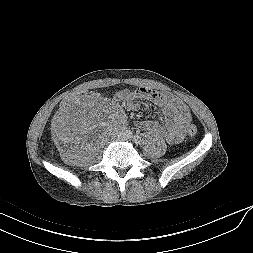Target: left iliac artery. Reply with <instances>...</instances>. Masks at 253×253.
I'll list each match as a JSON object with an SVG mask.
<instances>
[{"label":"left iliac artery","instance_id":"obj_1","mask_svg":"<svg viewBox=\"0 0 253 253\" xmlns=\"http://www.w3.org/2000/svg\"><path fill=\"white\" fill-rule=\"evenodd\" d=\"M133 141L136 143V144H140L141 143V137L138 136V135H134L133 136Z\"/></svg>","mask_w":253,"mask_h":253}]
</instances>
